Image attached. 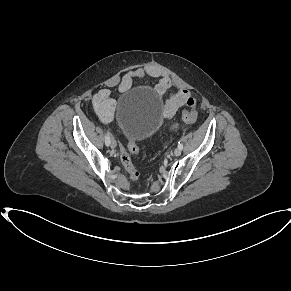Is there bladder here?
Listing matches in <instances>:
<instances>
[{
	"mask_svg": "<svg viewBox=\"0 0 291 291\" xmlns=\"http://www.w3.org/2000/svg\"><path fill=\"white\" fill-rule=\"evenodd\" d=\"M117 118L120 130L129 141H144L161 127L159 98L144 87L127 90L121 97Z\"/></svg>",
	"mask_w": 291,
	"mask_h": 291,
	"instance_id": "31cf9c89",
	"label": "bladder"
}]
</instances>
